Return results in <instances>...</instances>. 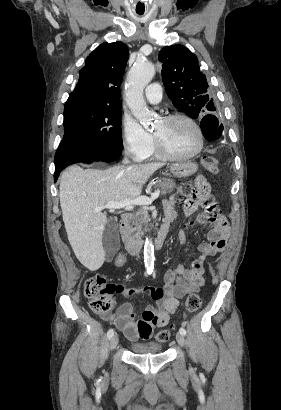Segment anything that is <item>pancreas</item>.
<instances>
[{
	"mask_svg": "<svg viewBox=\"0 0 281 410\" xmlns=\"http://www.w3.org/2000/svg\"><path fill=\"white\" fill-rule=\"evenodd\" d=\"M176 187V183L172 179L162 178L154 184L155 189H159L163 195L171 193ZM126 222V238L134 239L141 236L146 229L150 218L146 207H139L135 213L128 214Z\"/></svg>",
	"mask_w": 281,
	"mask_h": 410,
	"instance_id": "pancreas-1",
	"label": "pancreas"
}]
</instances>
